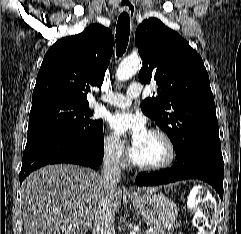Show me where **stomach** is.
<instances>
[{"instance_id":"1","label":"stomach","mask_w":241,"mask_h":234,"mask_svg":"<svg viewBox=\"0 0 241 234\" xmlns=\"http://www.w3.org/2000/svg\"><path fill=\"white\" fill-rule=\"evenodd\" d=\"M137 211L155 228L172 227L178 215L176 204L166 196L149 190L145 194L129 196Z\"/></svg>"}]
</instances>
